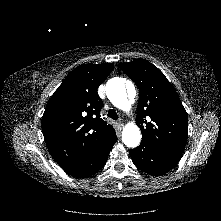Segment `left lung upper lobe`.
<instances>
[{
	"label": "left lung upper lobe",
	"instance_id": "left-lung-upper-lobe-1",
	"mask_svg": "<svg viewBox=\"0 0 221 221\" xmlns=\"http://www.w3.org/2000/svg\"><path fill=\"white\" fill-rule=\"evenodd\" d=\"M119 66L139 88L136 124L142 140L182 153L187 141V113L168 79L145 59Z\"/></svg>",
	"mask_w": 221,
	"mask_h": 221
}]
</instances>
